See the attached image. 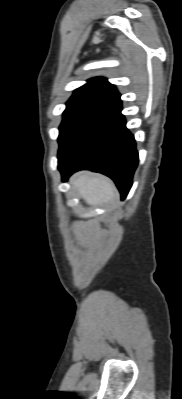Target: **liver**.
Here are the masks:
<instances>
[{
	"label": "liver",
	"instance_id": "1",
	"mask_svg": "<svg viewBox=\"0 0 182 399\" xmlns=\"http://www.w3.org/2000/svg\"><path fill=\"white\" fill-rule=\"evenodd\" d=\"M72 185L79 192L81 198L91 206L112 202L117 194L111 180L88 172L77 174L73 178Z\"/></svg>",
	"mask_w": 182,
	"mask_h": 399
}]
</instances>
